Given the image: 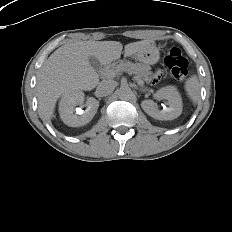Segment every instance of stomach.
Masks as SVG:
<instances>
[{
  "label": "stomach",
  "mask_w": 232,
  "mask_h": 232,
  "mask_svg": "<svg viewBox=\"0 0 232 232\" xmlns=\"http://www.w3.org/2000/svg\"><path fill=\"white\" fill-rule=\"evenodd\" d=\"M134 56L146 65H153L158 62L160 53L155 45L149 44L144 49L135 53Z\"/></svg>",
  "instance_id": "stomach-1"
}]
</instances>
